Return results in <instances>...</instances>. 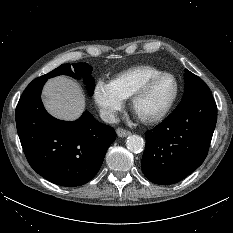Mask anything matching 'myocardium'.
<instances>
[{
  "instance_id": "obj_1",
  "label": "myocardium",
  "mask_w": 233,
  "mask_h": 233,
  "mask_svg": "<svg viewBox=\"0 0 233 233\" xmlns=\"http://www.w3.org/2000/svg\"><path fill=\"white\" fill-rule=\"evenodd\" d=\"M165 77H169L173 80L174 82V93L170 99V101L168 102V104L165 106V108L159 112L156 115L153 116H141L137 113L136 111V106L137 103L139 102V100L144 97L149 90L151 89V87L160 79L165 78ZM179 95V83L177 78L168 72H162L160 74L154 75L150 78H148L135 92L134 94L131 96V101H130V107L132 112L134 113V115L144 124H155L158 123L160 121H162L172 110L173 106L175 105L177 98Z\"/></svg>"
}]
</instances>
